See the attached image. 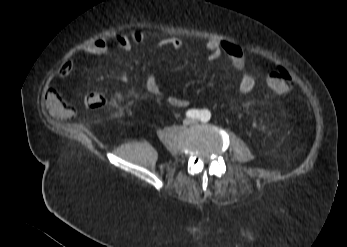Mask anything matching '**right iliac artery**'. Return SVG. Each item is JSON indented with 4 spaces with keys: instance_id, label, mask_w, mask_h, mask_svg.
I'll return each instance as SVG.
<instances>
[{
    "instance_id": "right-iliac-artery-1",
    "label": "right iliac artery",
    "mask_w": 347,
    "mask_h": 247,
    "mask_svg": "<svg viewBox=\"0 0 347 247\" xmlns=\"http://www.w3.org/2000/svg\"><path fill=\"white\" fill-rule=\"evenodd\" d=\"M186 116L192 119H198L201 116V111L197 109H191L186 112Z\"/></svg>"
}]
</instances>
